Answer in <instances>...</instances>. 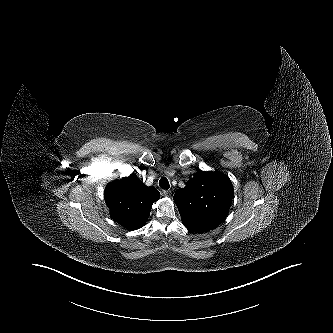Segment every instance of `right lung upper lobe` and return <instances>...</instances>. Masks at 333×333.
I'll return each mask as SVG.
<instances>
[{
  "label": "right lung upper lobe",
  "mask_w": 333,
  "mask_h": 333,
  "mask_svg": "<svg viewBox=\"0 0 333 333\" xmlns=\"http://www.w3.org/2000/svg\"><path fill=\"white\" fill-rule=\"evenodd\" d=\"M160 197L155 187L146 186L135 174L110 182L104 192L112 219L128 230L147 221L152 204Z\"/></svg>",
  "instance_id": "1"
}]
</instances>
